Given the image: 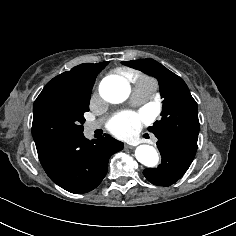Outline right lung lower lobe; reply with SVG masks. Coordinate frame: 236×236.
I'll list each match as a JSON object with an SVG mask.
<instances>
[{
  "label": "right lung lower lobe",
  "mask_w": 236,
  "mask_h": 236,
  "mask_svg": "<svg viewBox=\"0 0 236 236\" xmlns=\"http://www.w3.org/2000/svg\"><path fill=\"white\" fill-rule=\"evenodd\" d=\"M39 160L52 181L63 189L82 194L96 188L108 170V160L123 143L104 135L88 140L83 133L36 143Z\"/></svg>",
  "instance_id": "1"
}]
</instances>
